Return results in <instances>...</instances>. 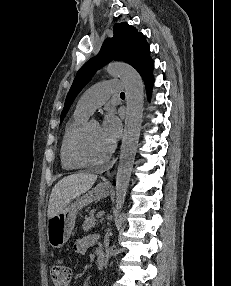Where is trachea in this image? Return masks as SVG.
I'll list each match as a JSON object with an SVG mask.
<instances>
[{
	"instance_id": "1",
	"label": "trachea",
	"mask_w": 231,
	"mask_h": 286,
	"mask_svg": "<svg viewBox=\"0 0 231 286\" xmlns=\"http://www.w3.org/2000/svg\"><path fill=\"white\" fill-rule=\"evenodd\" d=\"M120 95H121V96H124V95H125V93H124V92H122Z\"/></svg>"
}]
</instances>
